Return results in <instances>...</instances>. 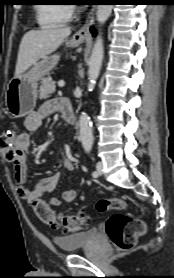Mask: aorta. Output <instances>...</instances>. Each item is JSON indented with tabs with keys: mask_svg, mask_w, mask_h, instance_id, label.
<instances>
[{
	"mask_svg": "<svg viewBox=\"0 0 174 278\" xmlns=\"http://www.w3.org/2000/svg\"><path fill=\"white\" fill-rule=\"evenodd\" d=\"M112 9H113V5H98L97 13H96L97 21L100 24H104L107 21V19L110 17ZM103 56H104L103 39H102L101 32L99 31L88 63L89 64L88 77H89L90 85H94L96 79L99 76L102 61H103ZM79 131H80V139L84 150L86 151L91 150L94 142V137L92 133V125H91L90 117L85 112H83L79 118Z\"/></svg>",
	"mask_w": 174,
	"mask_h": 278,
	"instance_id": "aorta-1",
	"label": "aorta"
}]
</instances>
